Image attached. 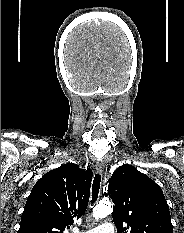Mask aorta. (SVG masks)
I'll use <instances>...</instances> for the list:
<instances>
[{"instance_id": "762f6f07", "label": "aorta", "mask_w": 184, "mask_h": 233, "mask_svg": "<svg viewBox=\"0 0 184 233\" xmlns=\"http://www.w3.org/2000/svg\"><path fill=\"white\" fill-rule=\"evenodd\" d=\"M112 211L113 206L109 201H100L93 209V217L95 219H102L111 214Z\"/></svg>"}]
</instances>
